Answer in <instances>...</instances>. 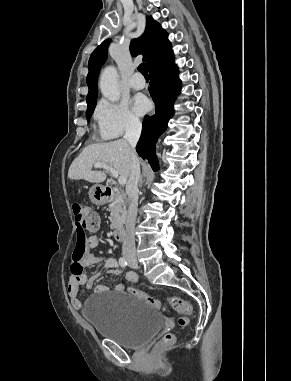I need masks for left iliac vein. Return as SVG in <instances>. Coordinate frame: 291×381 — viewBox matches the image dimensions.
I'll return each mask as SVG.
<instances>
[{
  "label": "left iliac vein",
  "mask_w": 291,
  "mask_h": 381,
  "mask_svg": "<svg viewBox=\"0 0 291 381\" xmlns=\"http://www.w3.org/2000/svg\"><path fill=\"white\" fill-rule=\"evenodd\" d=\"M129 266L131 268H136L138 266L137 261L136 260L135 261H129Z\"/></svg>",
  "instance_id": "left-iliac-vein-1"
}]
</instances>
